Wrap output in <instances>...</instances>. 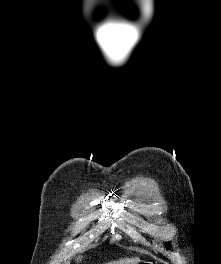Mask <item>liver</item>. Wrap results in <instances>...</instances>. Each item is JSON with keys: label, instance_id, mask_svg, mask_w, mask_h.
Instances as JSON below:
<instances>
[{"label": "liver", "instance_id": "1", "mask_svg": "<svg viewBox=\"0 0 221 264\" xmlns=\"http://www.w3.org/2000/svg\"><path fill=\"white\" fill-rule=\"evenodd\" d=\"M137 261H139V258H125L118 261H112L107 264H136Z\"/></svg>", "mask_w": 221, "mask_h": 264}]
</instances>
